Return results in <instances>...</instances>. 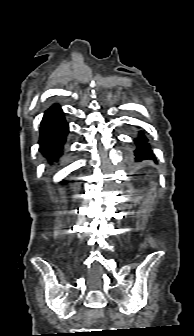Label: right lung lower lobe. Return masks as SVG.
<instances>
[{"instance_id": "98d812e1", "label": "right lung lower lobe", "mask_w": 194, "mask_h": 336, "mask_svg": "<svg viewBox=\"0 0 194 336\" xmlns=\"http://www.w3.org/2000/svg\"><path fill=\"white\" fill-rule=\"evenodd\" d=\"M69 132L64 113L59 105L49 108L42 119L40 128V151L49 163L62 155L63 144Z\"/></svg>"}]
</instances>
